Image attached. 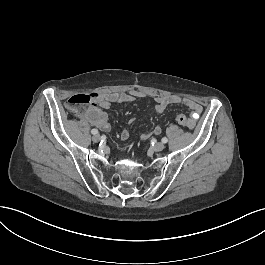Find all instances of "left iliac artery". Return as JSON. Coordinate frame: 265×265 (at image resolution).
<instances>
[{
	"label": "left iliac artery",
	"instance_id": "1",
	"mask_svg": "<svg viewBox=\"0 0 265 265\" xmlns=\"http://www.w3.org/2000/svg\"><path fill=\"white\" fill-rule=\"evenodd\" d=\"M168 139L166 137L162 138L163 143H167Z\"/></svg>",
	"mask_w": 265,
	"mask_h": 265
}]
</instances>
